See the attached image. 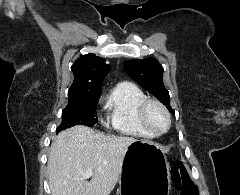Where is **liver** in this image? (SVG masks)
Returning <instances> with one entry per match:
<instances>
[{"instance_id":"obj_1","label":"liver","mask_w":240,"mask_h":195,"mask_svg":"<svg viewBox=\"0 0 240 195\" xmlns=\"http://www.w3.org/2000/svg\"><path fill=\"white\" fill-rule=\"evenodd\" d=\"M135 137L105 135L87 125H74L52 141L47 169L51 195H109L122 171L127 147ZM93 169V175L83 173Z\"/></svg>"}]
</instances>
